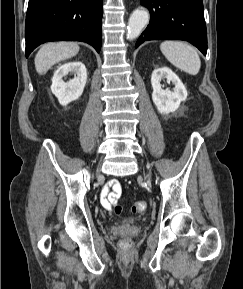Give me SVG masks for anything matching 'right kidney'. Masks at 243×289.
I'll list each match as a JSON object with an SVG mask.
<instances>
[{"instance_id":"obj_1","label":"right kidney","mask_w":243,"mask_h":289,"mask_svg":"<svg viewBox=\"0 0 243 289\" xmlns=\"http://www.w3.org/2000/svg\"><path fill=\"white\" fill-rule=\"evenodd\" d=\"M68 73H74L75 77L65 82L63 76ZM86 82L87 70L85 65L80 61L67 62L60 65L54 72L51 91L58 98L59 103L65 106L82 95Z\"/></svg>"}]
</instances>
